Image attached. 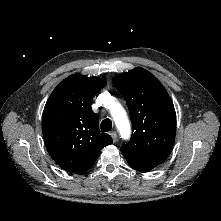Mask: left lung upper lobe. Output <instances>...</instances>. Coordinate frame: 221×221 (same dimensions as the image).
<instances>
[{
	"label": "left lung upper lobe",
	"mask_w": 221,
	"mask_h": 221,
	"mask_svg": "<svg viewBox=\"0 0 221 221\" xmlns=\"http://www.w3.org/2000/svg\"><path fill=\"white\" fill-rule=\"evenodd\" d=\"M112 83L127 103L134 132L121 153L133 169L148 172L172 151L176 134L172 100L159 80L142 68L122 73Z\"/></svg>",
	"instance_id": "1"
}]
</instances>
